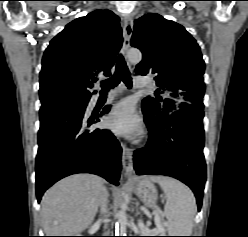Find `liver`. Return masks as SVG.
<instances>
[{"instance_id":"6515ba94","label":"liver","mask_w":248,"mask_h":237,"mask_svg":"<svg viewBox=\"0 0 248 237\" xmlns=\"http://www.w3.org/2000/svg\"><path fill=\"white\" fill-rule=\"evenodd\" d=\"M161 177L152 176V181ZM103 180L92 174L69 176L47 190L41 200L46 236H70L88 228L99 206Z\"/></svg>"}]
</instances>
